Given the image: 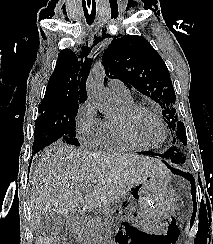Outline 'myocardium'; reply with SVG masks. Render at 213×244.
I'll list each match as a JSON object with an SVG mask.
<instances>
[{"instance_id": "obj_1", "label": "myocardium", "mask_w": 213, "mask_h": 244, "mask_svg": "<svg viewBox=\"0 0 213 244\" xmlns=\"http://www.w3.org/2000/svg\"><path fill=\"white\" fill-rule=\"evenodd\" d=\"M142 112L152 115L159 122L160 126L162 127L163 139L161 140V142L159 144H156V145L146 144V143L142 142L134 134L132 127H131V121L136 115H138L139 113H142ZM116 123H117V126H118L121 134L124 136V138L126 140H128L129 142L141 147L142 149H156V148L160 147L161 145H163L167 139L168 129L166 127V124L164 123L161 116L149 107H145L142 105H134L131 107L122 108L121 115L116 118Z\"/></svg>"}]
</instances>
